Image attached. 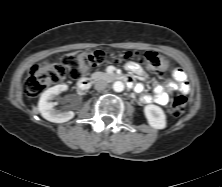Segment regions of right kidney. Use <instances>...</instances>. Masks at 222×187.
I'll return each mask as SVG.
<instances>
[{
  "label": "right kidney",
  "mask_w": 222,
  "mask_h": 187,
  "mask_svg": "<svg viewBox=\"0 0 222 187\" xmlns=\"http://www.w3.org/2000/svg\"><path fill=\"white\" fill-rule=\"evenodd\" d=\"M68 86L65 84L56 85L44 91L39 99L38 109L43 118L54 123H64L74 117L73 111L62 112L54 107L57 104L52 100L60 93L66 91Z\"/></svg>",
  "instance_id": "ca27d5eb"
}]
</instances>
